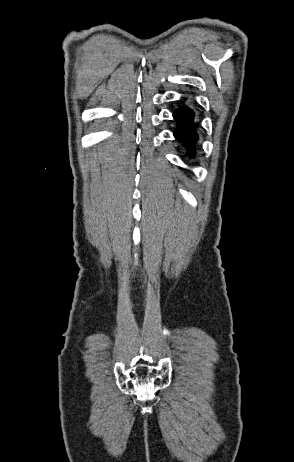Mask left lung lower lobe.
<instances>
[{"label": "left lung lower lobe", "instance_id": "obj_1", "mask_svg": "<svg viewBox=\"0 0 294 462\" xmlns=\"http://www.w3.org/2000/svg\"><path fill=\"white\" fill-rule=\"evenodd\" d=\"M173 117L178 123L174 136L185 146H192L197 141V134L191 128L194 118L193 111L187 107H180L173 114ZM190 154L192 157L194 156V149H191Z\"/></svg>", "mask_w": 294, "mask_h": 462}]
</instances>
